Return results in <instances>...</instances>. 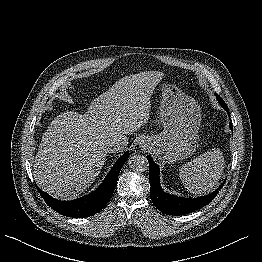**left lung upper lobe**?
<instances>
[{
	"label": "left lung upper lobe",
	"mask_w": 262,
	"mask_h": 262,
	"mask_svg": "<svg viewBox=\"0 0 262 262\" xmlns=\"http://www.w3.org/2000/svg\"><path fill=\"white\" fill-rule=\"evenodd\" d=\"M216 98L221 106H227L220 96L216 95Z\"/></svg>",
	"instance_id": "obj_1"
}]
</instances>
